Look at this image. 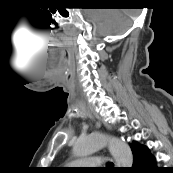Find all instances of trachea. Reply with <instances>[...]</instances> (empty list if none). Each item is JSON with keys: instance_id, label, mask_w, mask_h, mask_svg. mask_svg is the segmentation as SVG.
<instances>
[{"instance_id": "trachea-1", "label": "trachea", "mask_w": 173, "mask_h": 173, "mask_svg": "<svg viewBox=\"0 0 173 173\" xmlns=\"http://www.w3.org/2000/svg\"><path fill=\"white\" fill-rule=\"evenodd\" d=\"M106 168H112L113 167V163L112 162H108L107 164H106Z\"/></svg>"}]
</instances>
